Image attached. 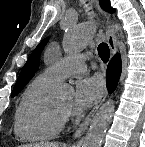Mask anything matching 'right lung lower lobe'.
<instances>
[{
    "mask_svg": "<svg viewBox=\"0 0 145 147\" xmlns=\"http://www.w3.org/2000/svg\"><path fill=\"white\" fill-rule=\"evenodd\" d=\"M121 74V59L119 54L111 60L107 68V87L109 92H113L117 86Z\"/></svg>",
    "mask_w": 145,
    "mask_h": 147,
    "instance_id": "right-lung-lower-lobe-1",
    "label": "right lung lower lobe"
}]
</instances>
